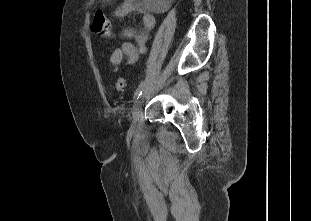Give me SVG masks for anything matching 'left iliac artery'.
I'll return each instance as SVG.
<instances>
[{
  "label": "left iliac artery",
  "mask_w": 311,
  "mask_h": 221,
  "mask_svg": "<svg viewBox=\"0 0 311 221\" xmlns=\"http://www.w3.org/2000/svg\"><path fill=\"white\" fill-rule=\"evenodd\" d=\"M143 88H144V81H142L138 88L136 89V91L134 92V100H137L141 94H142V91H143Z\"/></svg>",
  "instance_id": "obj_1"
}]
</instances>
